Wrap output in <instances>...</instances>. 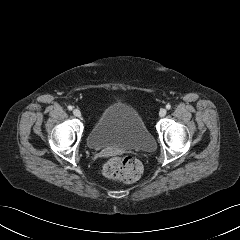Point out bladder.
I'll list each match as a JSON object with an SVG mask.
<instances>
[{
  "instance_id": "bladder-1",
  "label": "bladder",
  "mask_w": 240,
  "mask_h": 240,
  "mask_svg": "<svg viewBox=\"0 0 240 240\" xmlns=\"http://www.w3.org/2000/svg\"><path fill=\"white\" fill-rule=\"evenodd\" d=\"M87 144L91 149L113 148L150 152L155 141L140 114L125 103L107 106L91 127Z\"/></svg>"
}]
</instances>
